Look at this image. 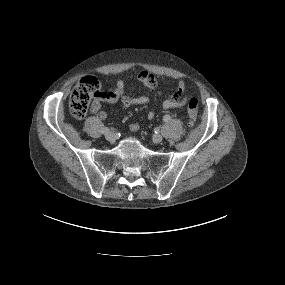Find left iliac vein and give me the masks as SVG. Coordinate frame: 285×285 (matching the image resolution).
<instances>
[{"label": "left iliac vein", "instance_id": "1", "mask_svg": "<svg viewBox=\"0 0 285 285\" xmlns=\"http://www.w3.org/2000/svg\"><path fill=\"white\" fill-rule=\"evenodd\" d=\"M152 139H153V142L156 144L161 143L163 141V137L159 134L153 135Z\"/></svg>", "mask_w": 285, "mask_h": 285}]
</instances>
